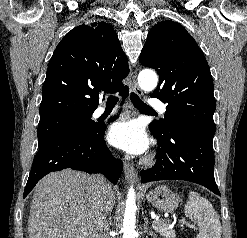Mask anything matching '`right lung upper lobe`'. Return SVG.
<instances>
[{
  "label": "right lung upper lobe",
  "mask_w": 247,
  "mask_h": 238,
  "mask_svg": "<svg viewBox=\"0 0 247 238\" xmlns=\"http://www.w3.org/2000/svg\"><path fill=\"white\" fill-rule=\"evenodd\" d=\"M129 74L127 57L110 24H82L57 45L42 87L40 121L94 112L100 90L123 91Z\"/></svg>",
  "instance_id": "cb5924a9"
}]
</instances>
